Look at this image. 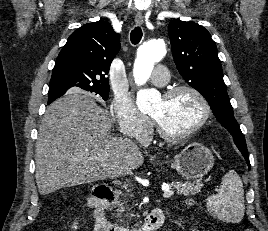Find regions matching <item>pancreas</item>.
<instances>
[{
	"mask_svg": "<svg viewBox=\"0 0 268 231\" xmlns=\"http://www.w3.org/2000/svg\"><path fill=\"white\" fill-rule=\"evenodd\" d=\"M203 184L199 182H181V181H173L170 184V187L175 189L178 195H195L201 191ZM129 190L126 191V193H122L121 191H116L114 200L111 202V209H116V215L121 216V214L124 212L125 208L123 207V204L121 200L119 199V196L127 197L129 195ZM123 222V220H120Z\"/></svg>",
	"mask_w": 268,
	"mask_h": 231,
	"instance_id": "pancreas-1",
	"label": "pancreas"
}]
</instances>
